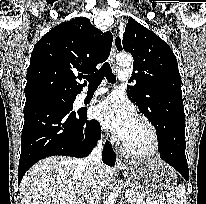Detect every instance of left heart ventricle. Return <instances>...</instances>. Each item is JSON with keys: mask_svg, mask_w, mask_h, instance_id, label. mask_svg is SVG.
<instances>
[{"mask_svg": "<svg viewBox=\"0 0 206 204\" xmlns=\"http://www.w3.org/2000/svg\"><path fill=\"white\" fill-rule=\"evenodd\" d=\"M124 143L134 151H144L149 147L151 143L150 135L141 121L138 119L136 120L129 136L124 140Z\"/></svg>", "mask_w": 206, "mask_h": 204, "instance_id": "obj_1", "label": "left heart ventricle"}]
</instances>
